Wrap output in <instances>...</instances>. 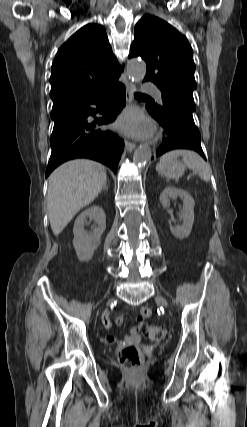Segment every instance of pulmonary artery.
<instances>
[{
	"mask_svg": "<svg viewBox=\"0 0 247 427\" xmlns=\"http://www.w3.org/2000/svg\"><path fill=\"white\" fill-rule=\"evenodd\" d=\"M145 90L148 91V92L153 93L155 95V97L160 102H162V93H161V91L158 88H156L155 86H152V85H146L145 86Z\"/></svg>",
	"mask_w": 247,
	"mask_h": 427,
	"instance_id": "pulmonary-artery-1",
	"label": "pulmonary artery"
}]
</instances>
